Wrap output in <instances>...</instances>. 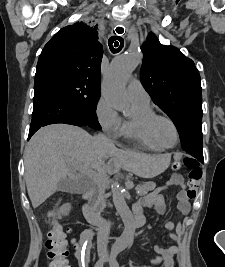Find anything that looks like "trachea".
<instances>
[{
  "instance_id": "3493384b",
  "label": "trachea",
  "mask_w": 225,
  "mask_h": 267,
  "mask_svg": "<svg viewBox=\"0 0 225 267\" xmlns=\"http://www.w3.org/2000/svg\"><path fill=\"white\" fill-rule=\"evenodd\" d=\"M116 32L122 34L124 32V28L117 27ZM108 45L112 53H118L124 46V39L117 35L111 36L108 40Z\"/></svg>"
}]
</instances>
